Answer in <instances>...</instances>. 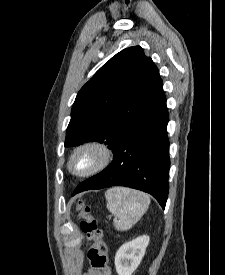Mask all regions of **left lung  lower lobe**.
Listing matches in <instances>:
<instances>
[{
  "label": "left lung lower lobe",
  "mask_w": 225,
  "mask_h": 275,
  "mask_svg": "<svg viewBox=\"0 0 225 275\" xmlns=\"http://www.w3.org/2000/svg\"><path fill=\"white\" fill-rule=\"evenodd\" d=\"M168 118L162 91L121 138L112 151V163L79 184L73 195L90 189L126 186L151 194L164 209L169 190Z\"/></svg>",
  "instance_id": "obj_1"
}]
</instances>
